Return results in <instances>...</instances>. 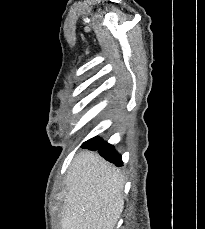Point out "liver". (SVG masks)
Masks as SVG:
<instances>
[{
  "instance_id": "1",
  "label": "liver",
  "mask_w": 205,
  "mask_h": 229,
  "mask_svg": "<svg viewBox=\"0 0 205 229\" xmlns=\"http://www.w3.org/2000/svg\"><path fill=\"white\" fill-rule=\"evenodd\" d=\"M124 178L90 151L75 156L66 178L62 229H114L124 208Z\"/></svg>"
}]
</instances>
